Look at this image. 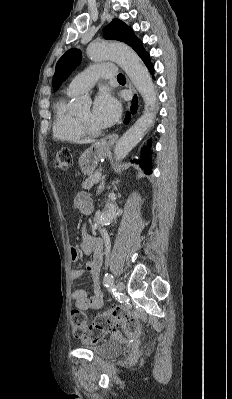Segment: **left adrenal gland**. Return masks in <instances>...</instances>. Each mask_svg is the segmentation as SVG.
<instances>
[{
	"label": "left adrenal gland",
	"instance_id": "1",
	"mask_svg": "<svg viewBox=\"0 0 232 399\" xmlns=\"http://www.w3.org/2000/svg\"><path fill=\"white\" fill-rule=\"evenodd\" d=\"M104 188H105V182H104V178H102L101 184L97 190V194H101V192H102V190H104Z\"/></svg>",
	"mask_w": 232,
	"mask_h": 399
}]
</instances>
